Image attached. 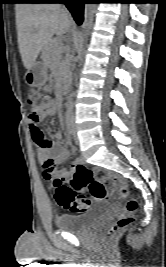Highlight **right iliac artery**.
<instances>
[{
	"instance_id": "82829eb1",
	"label": "right iliac artery",
	"mask_w": 166,
	"mask_h": 267,
	"mask_svg": "<svg viewBox=\"0 0 166 267\" xmlns=\"http://www.w3.org/2000/svg\"><path fill=\"white\" fill-rule=\"evenodd\" d=\"M65 125L67 132L71 135L72 134V117L70 114L65 115Z\"/></svg>"
}]
</instances>
